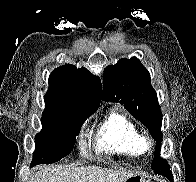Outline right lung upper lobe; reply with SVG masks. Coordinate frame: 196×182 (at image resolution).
Listing matches in <instances>:
<instances>
[{
	"label": "right lung upper lobe",
	"mask_w": 196,
	"mask_h": 182,
	"mask_svg": "<svg viewBox=\"0 0 196 182\" xmlns=\"http://www.w3.org/2000/svg\"><path fill=\"white\" fill-rule=\"evenodd\" d=\"M45 111H65L92 115L101 101V81L86 68L66 64L55 69L49 77L44 96Z\"/></svg>",
	"instance_id": "right-lung-upper-lobe-1"
}]
</instances>
